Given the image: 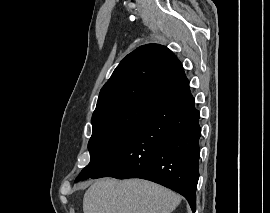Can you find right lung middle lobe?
Returning <instances> with one entry per match:
<instances>
[{
	"label": "right lung middle lobe",
	"mask_w": 270,
	"mask_h": 213,
	"mask_svg": "<svg viewBox=\"0 0 270 213\" xmlns=\"http://www.w3.org/2000/svg\"><path fill=\"white\" fill-rule=\"evenodd\" d=\"M156 105L147 101H134L92 118L93 132L88 143L90 163L81 171L75 182L100 172Z\"/></svg>",
	"instance_id": "obj_1"
}]
</instances>
